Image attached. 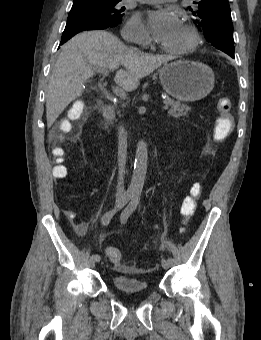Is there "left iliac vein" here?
<instances>
[{"mask_svg": "<svg viewBox=\"0 0 261 340\" xmlns=\"http://www.w3.org/2000/svg\"><path fill=\"white\" fill-rule=\"evenodd\" d=\"M161 265L164 269H168L171 266V264L166 259H162Z\"/></svg>", "mask_w": 261, "mask_h": 340, "instance_id": "1", "label": "left iliac vein"}]
</instances>
